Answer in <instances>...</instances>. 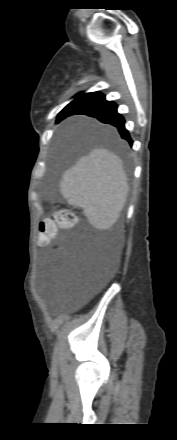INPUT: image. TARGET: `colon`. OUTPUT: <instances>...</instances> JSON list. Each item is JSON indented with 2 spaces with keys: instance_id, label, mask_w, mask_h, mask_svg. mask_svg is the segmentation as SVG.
I'll return each mask as SVG.
<instances>
[{
  "instance_id": "1",
  "label": "colon",
  "mask_w": 177,
  "mask_h": 440,
  "mask_svg": "<svg viewBox=\"0 0 177 440\" xmlns=\"http://www.w3.org/2000/svg\"><path fill=\"white\" fill-rule=\"evenodd\" d=\"M76 215L68 209H59L54 214L41 221L39 227V241L48 244L53 240L59 229L70 228L76 223Z\"/></svg>"
}]
</instances>
